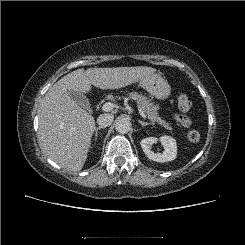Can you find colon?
<instances>
[{"label": "colon", "instance_id": "5ec220e1", "mask_svg": "<svg viewBox=\"0 0 245 245\" xmlns=\"http://www.w3.org/2000/svg\"><path fill=\"white\" fill-rule=\"evenodd\" d=\"M178 107L183 112H188L192 108L191 100L189 99L188 95L185 93H181L178 97ZM201 135L198 130H190L187 133V139L188 141L192 143H196L200 140Z\"/></svg>", "mask_w": 245, "mask_h": 245}]
</instances>
